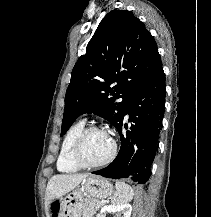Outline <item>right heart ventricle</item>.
I'll use <instances>...</instances> for the list:
<instances>
[{
	"mask_svg": "<svg viewBox=\"0 0 211 217\" xmlns=\"http://www.w3.org/2000/svg\"><path fill=\"white\" fill-rule=\"evenodd\" d=\"M85 128V121L81 120L72 125L65 134L57 159V169L63 173H74L81 169L73 159V147L81 131Z\"/></svg>",
	"mask_w": 211,
	"mask_h": 217,
	"instance_id": "e07e8e85",
	"label": "right heart ventricle"
}]
</instances>
